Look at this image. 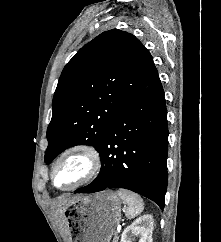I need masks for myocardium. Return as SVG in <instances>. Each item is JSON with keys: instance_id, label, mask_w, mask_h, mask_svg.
Here are the masks:
<instances>
[{"instance_id": "f54148a6", "label": "myocardium", "mask_w": 221, "mask_h": 242, "mask_svg": "<svg viewBox=\"0 0 221 242\" xmlns=\"http://www.w3.org/2000/svg\"><path fill=\"white\" fill-rule=\"evenodd\" d=\"M74 153H79L86 157V159L88 161V170L82 178H80L78 181H76L72 185L67 186V187H58L55 184V180H54L56 169H57L58 165L60 164V162L66 156H68L70 154H74ZM101 166H102L101 155L96 147H94L93 145L88 144V143H75V144H72V145L68 146L67 148H65L54 160V162L51 166V171H50V181L54 188L61 190V191H70V190L76 189L84 184H87L90 181H92L93 179H95L100 172Z\"/></svg>"}]
</instances>
